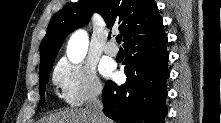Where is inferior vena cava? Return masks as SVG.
<instances>
[{"instance_id": "602c4592", "label": "inferior vena cava", "mask_w": 221, "mask_h": 123, "mask_svg": "<svg viewBox=\"0 0 221 123\" xmlns=\"http://www.w3.org/2000/svg\"><path fill=\"white\" fill-rule=\"evenodd\" d=\"M101 94V89L98 88L93 97L87 106V110L90 113V118L92 123H104V115H103V104L102 101L99 100L98 96Z\"/></svg>"}]
</instances>
